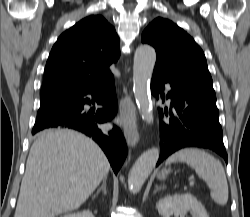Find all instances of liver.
<instances>
[{
    "instance_id": "1",
    "label": "liver",
    "mask_w": 250,
    "mask_h": 217,
    "mask_svg": "<svg viewBox=\"0 0 250 217\" xmlns=\"http://www.w3.org/2000/svg\"><path fill=\"white\" fill-rule=\"evenodd\" d=\"M109 169L103 151L85 135L41 132L29 152L14 217H54L79 208Z\"/></svg>"
}]
</instances>
